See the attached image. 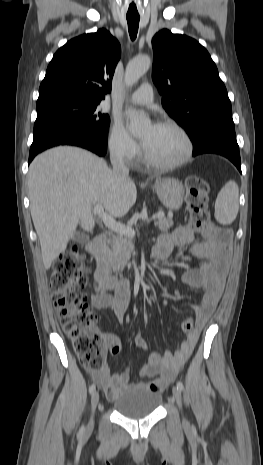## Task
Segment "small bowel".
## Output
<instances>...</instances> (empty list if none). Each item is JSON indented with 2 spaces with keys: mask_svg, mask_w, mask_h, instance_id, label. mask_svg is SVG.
Here are the masks:
<instances>
[{
  "mask_svg": "<svg viewBox=\"0 0 263 465\" xmlns=\"http://www.w3.org/2000/svg\"><path fill=\"white\" fill-rule=\"evenodd\" d=\"M196 230L190 225L175 228L172 233L162 235L153 249V255L159 260L166 259L174 246H189L190 253L205 262L197 268L184 273L182 281L185 285L204 292L200 302H185L196 315L197 328L188 333L186 339L175 351L163 354L151 352L147 355L139 382H131L129 369L120 373H110L108 368L100 372H92L93 379L106 392L109 400H115L125 391L136 385H146L149 389L161 393L172 381L191 356L200 334V330L213 314L223 292L227 257L229 252L230 234L226 231H215L203 234L202 240H197ZM93 305L100 310L110 309L118 320L123 321L129 304V283L122 280L117 285L115 294L99 292L91 297ZM107 348L114 356L122 354L120 340L114 336L105 335ZM135 347L143 353L147 352V344L143 337L136 336Z\"/></svg>",
  "mask_w": 263,
  "mask_h": 465,
  "instance_id": "obj_1",
  "label": "small bowel"
}]
</instances>
